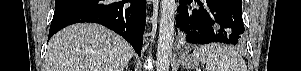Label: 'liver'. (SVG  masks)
Returning <instances> with one entry per match:
<instances>
[{"mask_svg":"<svg viewBox=\"0 0 301 71\" xmlns=\"http://www.w3.org/2000/svg\"><path fill=\"white\" fill-rule=\"evenodd\" d=\"M133 49L97 24L81 23L56 33L48 43L45 71H124Z\"/></svg>","mask_w":301,"mask_h":71,"instance_id":"liver-1","label":"liver"}]
</instances>
